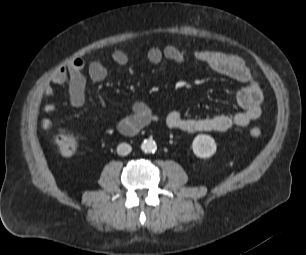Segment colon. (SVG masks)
<instances>
[{"label": "colon", "mask_w": 306, "mask_h": 255, "mask_svg": "<svg viewBox=\"0 0 306 255\" xmlns=\"http://www.w3.org/2000/svg\"><path fill=\"white\" fill-rule=\"evenodd\" d=\"M250 134L254 138H259L262 131L258 127H253ZM55 144L59 153L66 158L72 157L77 150V141L70 133H61L55 137Z\"/></svg>", "instance_id": "5ec220e1"}]
</instances>
